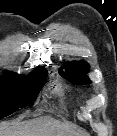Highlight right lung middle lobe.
Segmentation results:
<instances>
[{
  "instance_id": "dd1d6c3e",
  "label": "right lung middle lobe",
  "mask_w": 117,
  "mask_h": 136,
  "mask_svg": "<svg viewBox=\"0 0 117 136\" xmlns=\"http://www.w3.org/2000/svg\"><path fill=\"white\" fill-rule=\"evenodd\" d=\"M46 77L47 71L43 66L26 78L16 73L0 77V118L9 116L20 107L33 104Z\"/></svg>"
}]
</instances>
